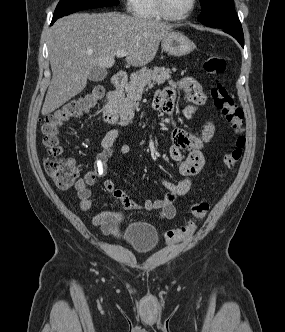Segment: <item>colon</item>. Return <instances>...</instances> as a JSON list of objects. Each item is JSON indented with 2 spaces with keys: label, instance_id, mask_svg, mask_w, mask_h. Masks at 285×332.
<instances>
[{
  "label": "colon",
  "instance_id": "1",
  "mask_svg": "<svg viewBox=\"0 0 285 332\" xmlns=\"http://www.w3.org/2000/svg\"><path fill=\"white\" fill-rule=\"evenodd\" d=\"M203 69L214 79L210 91L213 105L234 132L233 147L223 157L225 166L233 169L239 163L245 146L243 111L217 79V76L226 69L225 59L210 54L203 62ZM103 95L104 87L97 85L67 101L44 120L42 125L43 143L49 155L44 160V168L54 184L60 189L72 187L80 176V168L77 162L64 155V147L60 137L62 130L73 119L94 109ZM208 210L207 200L200 199L194 203L190 208L193 220L181 228L166 231L164 237L167 244L173 245L191 237L196 231L197 221L204 219Z\"/></svg>",
  "mask_w": 285,
  "mask_h": 332
}]
</instances>
